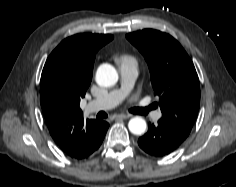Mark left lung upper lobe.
I'll use <instances>...</instances> for the list:
<instances>
[{
	"instance_id": "obj_1",
	"label": "left lung upper lobe",
	"mask_w": 236,
	"mask_h": 187,
	"mask_svg": "<svg viewBox=\"0 0 236 187\" xmlns=\"http://www.w3.org/2000/svg\"><path fill=\"white\" fill-rule=\"evenodd\" d=\"M126 38L143 54L155 95L160 97L161 121L189 135L200 106V85L193 62L167 33L144 29Z\"/></svg>"
}]
</instances>
